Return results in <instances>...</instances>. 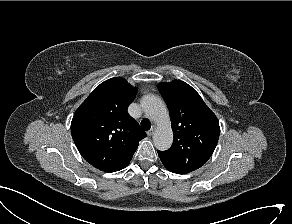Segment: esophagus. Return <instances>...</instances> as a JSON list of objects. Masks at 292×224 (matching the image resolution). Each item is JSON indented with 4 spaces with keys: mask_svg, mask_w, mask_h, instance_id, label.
I'll use <instances>...</instances> for the list:
<instances>
[{
    "mask_svg": "<svg viewBox=\"0 0 292 224\" xmlns=\"http://www.w3.org/2000/svg\"><path fill=\"white\" fill-rule=\"evenodd\" d=\"M155 130H156V126H152L151 129L149 131H147V135L148 136L153 135V133L155 132Z\"/></svg>",
    "mask_w": 292,
    "mask_h": 224,
    "instance_id": "esophagus-1",
    "label": "esophagus"
}]
</instances>
